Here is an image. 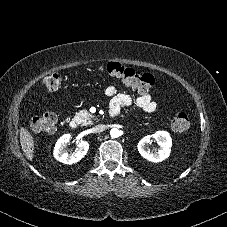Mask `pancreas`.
<instances>
[{
    "label": "pancreas",
    "instance_id": "obj_1",
    "mask_svg": "<svg viewBox=\"0 0 227 227\" xmlns=\"http://www.w3.org/2000/svg\"><path fill=\"white\" fill-rule=\"evenodd\" d=\"M77 119L81 122L82 125H91L94 120H96L95 116L89 113L87 110H80L76 114Z\"/></svg>",
    "mask_w": 227,
    "mask_h": 227
}]
</instances>
